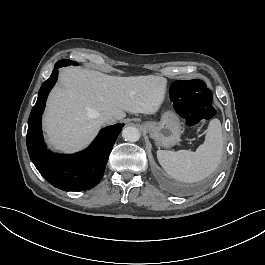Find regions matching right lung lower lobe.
<instances>
[{
  "mask_svg": "<svg viewBox=\"0 0 265 265\" xmlns=\"http://www.w3.org/2000/svg\"><path fill=\"white\" fill-rule=\"evenodd\" d=\"M65 65L66 62L58 61L49 79L42 84L29 116L26 142L32 162L48 182L61 190L82 191L100 182L123 124L102 129L86 150L76 154H54L46 149L41 131L42 113L47 96L56 83L58 68Z\"/></svg>",
  "mask_w": 265,
  "mask_h": 265,
  "instance_id": "right-lung-lower-lobe-1",
  "label": "right lung lower lobe"
}]
</instances>
